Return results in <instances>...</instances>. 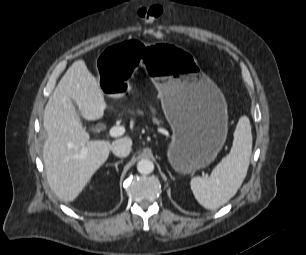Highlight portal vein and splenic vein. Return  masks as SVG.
Wrapping results in <instances>:
<instances>
[{
	"label": "portal vein and splenic vein",
	"instance_id": "1",
	"mask_svg": "<svg viewBox=\"0 0 306 255\" xmlns=\"http://www.w3.org/2000/svg\"><path fill=\"white\" fill-rule=\"evenodd\" d=\"M125 132V128L122 126H113L112 128H110L109 130V135L111 137H119L121 135H123ZM87 150L84 148L81 151V155L84 156L86 154Z\"/></svg>",
	"mask_w": 306,
	"mask_h": 255
}]
</instances>
